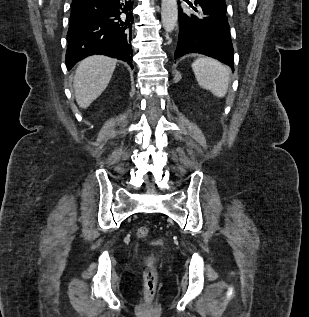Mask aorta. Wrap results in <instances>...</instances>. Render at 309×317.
Here are the masks:
<instances>
[{
  "label": "aorta",
  "mask_w": 309,
  "mask_h": 317,
  "mask_svg": "<svg viewBox=\"0 0 309 317\" xmlns=\"http://www.w3.org/2000/svg\"><path fill=\"white\" fill-rule=\"evenodd\" d=\"M178 19V8L176 0H162L161 3V21L164 30L172 32Z\"/></svg>",
  "instance_id": "aorta-1"
}]
</instances>
